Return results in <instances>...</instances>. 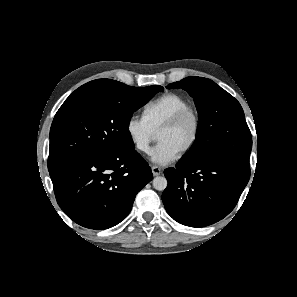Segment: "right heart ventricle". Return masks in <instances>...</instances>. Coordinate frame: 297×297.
Returning a JSON list of instances; mask_svg holds the SVG:
<instances>
[{"instance_id":"obj_1","label":"right heart ventricle","mask_w":297,"mask_h":297,"mask_svg":"<svg viewBox=\"0 0 297 297\" xmlns=\"http://www.w3.org/2000/svg\"><path fill=\"white\" fill-rule=\"evenodd\" d=\"M188 106H190V102L184 96L174 92H167L144 106L143 117L151 129L157 133L159 128L173 115Z\"/></svg>"}]
</instances>
